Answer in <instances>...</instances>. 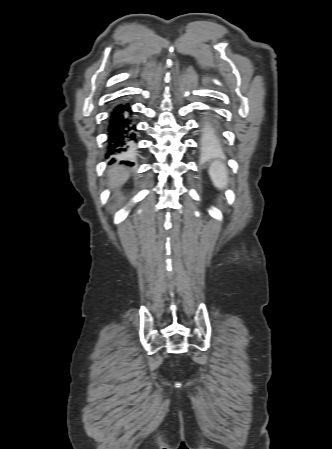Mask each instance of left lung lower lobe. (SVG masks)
Instances as JSON below:
<instances>
[{
	"label": "left lung lower lobe",
	"instance_id": "0a47b994",
	"mask_svg": "<svg viewBox=\"0 0 332 449\" xmlns=\"http://www.w3.org/2000/svg\"><path fill=\"white\" fill-rule=\"evenodd\" d=\"M201 146L205 150L219 148L221 145V134L219 126L213 116V113L208 112L204 118L202 125Z\"/></svg>",
	"mask_w": 332,
	"mask_h": 449
}]
</instances>
